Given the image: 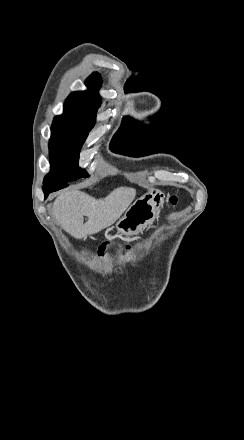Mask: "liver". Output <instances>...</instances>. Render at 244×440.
<instances>
[{"label": "liver", "instance_id": "1", "mask_svg": "<svg viewBox=\"0 0 244 440\" xmlns=\"http://www.w3.org/2000/svg\"><path fill=\"white\" fill-rule=\"evenodd\" d=\"M136 196L134 188H117L107 198L96 200L85 192H63L53 204V216L61 228L81 240L112 226ZM83 216L88 220L84 224Z\"/></svg>", "mask_w": 244, "mask_h": 440}]
</instances>
